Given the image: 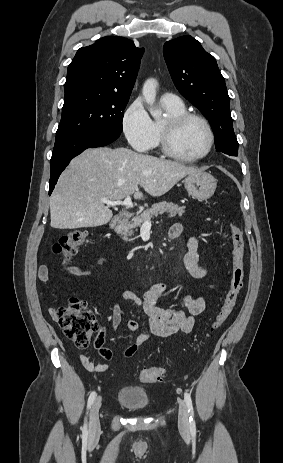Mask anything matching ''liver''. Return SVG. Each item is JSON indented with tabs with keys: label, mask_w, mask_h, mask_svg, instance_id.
<instances>
[{
	"label": "liver",
	"mask_w": 283,
	"mask_h": 463,
	"mask_svg": "<svg viewBox=\"0 0 283 463\" xmlns=\"http://www.w3.org/2000/svg\"><path fill=\"white\" fill-rule=\"evenodd\" d=\"M202 171L196 167L136 153L128 148L87 149L60 175L50 199L51 227L77 229L107 224L113 213L102 199L121 200L139 191L153 197L167 193L183 177Z\"/></svg>",
	"instance_id": "liver-1"
}]
</instances>
